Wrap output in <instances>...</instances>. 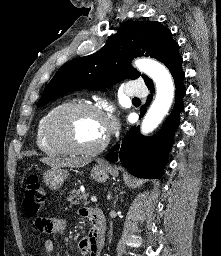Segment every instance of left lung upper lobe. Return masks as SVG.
I'll return each mask as SVG.
<instances>
[{
	"mask_svg": "<svg viewBox=\"0 0 221 256\" xmlns=\"http://www.w3.org/2000/svg\"><path fill=\"white\" fill-rule=\"evenodd\" d=\"M138 56L156 58L168 67L172 75L181 69L182 57L169 29L159 22L129 21L100 51L73 59L60 67L45 87L37 106L76 89L104 91L126 78L142 76L149 86L152 80L130 65L132 58Z\"/></svg>",
	"mask_w": 221,
	"mask_h": 256,
	"instance_id": "5c2ea615",
	"label": "left lung upper lobe"
}]
</instances>
